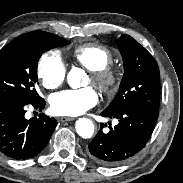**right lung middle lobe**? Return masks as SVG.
I'll return each instance as SVG.
<instances>
[{"instance_id": "right-lung-middle-lobe-1", "label": "right lung middle lobe", "mask_w": 183, "mask_h": 183, "mask_svg": "<svg viewBox=\"0 0 183 183\" xmlns=\"http://www.w3.org/2000/svg\"><path fill=\"white\" fill-rule=\"evenodd\" d=\"M69 41L41 32L16 38L0 51V100L31 99L37 92V64L41 55Z\"/></svg>"}]
</instances>
